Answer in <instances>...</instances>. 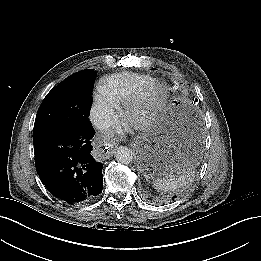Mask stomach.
I'll use <instances>...</instances> for the list:
<instances>
[{
	"label": "stomach",
	"instance_id": "0dacf381",
	"mask_svg": "<svg viewBox=\"0 0 261 261\" xmlns=\"http://www.w3.org/2000/svg\"><path fill=\"white\" fill-rule=\"evenodd\" d=\"M168 113L170 114V116H173V117H183L184 115H187L186 111H185V108L182 106H173V107H169V110H168ZM166 114V113H165ZM143 139L145 140V136L143 137ZM193 147V139H189V140H185L183 141V143H180L178 145V152L181 156V158L185 159V156H188L189 155V148H192ZM146 148V151L143 153L144 154V161L147 162V160L150 161V163H147L145 165V169L146 170H149L148 166H154L155 167V164H153V158H155V162L158 160L157 157H156V148L153 149V147L151 146H145ZM181 149L183 152H181ZM149 151H151V153H149Z\"/></svg>",
	"mask_w": 261,
	"mask_h": 261
}]
</instances>
